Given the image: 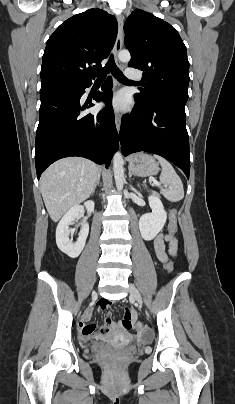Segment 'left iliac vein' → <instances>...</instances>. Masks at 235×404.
<instances>
[{"label":"left iliac vein","instance_id":"4c4485c4","mask_svg":"<svg viewBox=\"0 0 235 404\" xmlns=\"http://www.w3.org/2000/svg\"><path fill=\"white\" fill-rule=\"evenodd\" d=\"M129 291H130L131 296L134 297L136 302L141 306L142 297H141L139 291L136 289V287L133 284L130 285Z\"/></svg>","mask_w":235,"mask_h":404}]
</instances>
